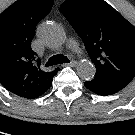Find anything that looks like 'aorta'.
Listing matches in <instances>:
<instances>
[{
  "label": "aorta",
  "mask_w": 135,
  "mask_h": 135,
  "mask_svg": "<svg viewBox=\"0 0 135 135\" xmlns=\"http://www.w3.org/2000/svg\"><path fill=\"white\" fill-rule=\"evenodd\" d=\"M40 39L53 48L61 47L66 41V32L57 23H46L38 31ZM96 69L90 61H82L77 66V74L81 79L89 80L95 75Z\"/></svg>",
  "instance_id": "1"
}]
</instances>
